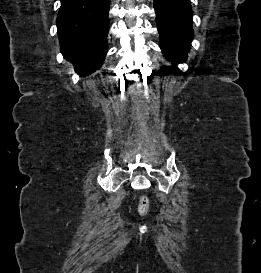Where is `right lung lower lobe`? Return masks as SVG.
Instances as JSON below:
<instances>
[{
  "mask_svg": "<svg viewBox=\"0 0 261 273\" xmlns=\"http://www.w3.org/2000/svg\"><path fill=\"white\" fill-rule=\"evenodd\" d=\"M110 0H61L57 17L60 50L78 73L97 70L107 52Z\"/></svg>",
  "mask_w": 261,
  "mask_h": 273,
  "instance_id": "right-lung-lower-lobe-1",
  "label": "right lung lower lobe"
}]
</instances>
